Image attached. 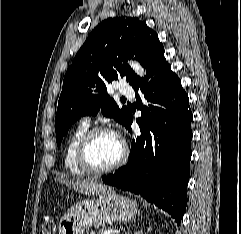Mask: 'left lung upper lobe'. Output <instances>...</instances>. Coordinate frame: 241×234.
<instances>
[{
    "instance_id": "left-lung-upper-lobe-1",
    "label": "left lung upper lobe",
    "mask_w": 241,
    "mask_h": 234,
    "mask_svg": "<svg viewBox=\"0 0 241 234\" xmlns=\"http://www.w3.org/2000/svg\"><path fill=\"white\" fill-rule=\"evenodd\" d=\"M162 48L158 35L138 18H109L95 27L64 76L55 118L57 145L76 120L99 110L126 125L130 112L116 105L106 85L118 77L131 85L139 76L126 61L134 58L146 68Z\"/></svg>"
}]
</instances>
